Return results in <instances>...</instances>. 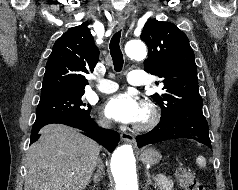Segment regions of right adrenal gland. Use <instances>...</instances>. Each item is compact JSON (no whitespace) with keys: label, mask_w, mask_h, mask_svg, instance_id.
Returning a JSON list of instances; mask_svg holds the SVG:
<instances>
[{"label":"right adrenal gland","mask_w":238,"mask_h":190,"mask_svg":"<svg viewBox=\"0 0 238 190\" xmlns=\"http://www.w3.org/2000/svg\"><path fill=\"white\" fill-rule=\"evenodd\" d=\"M98 163H99V170L93 176V182L95 184H97L100 181V179L103 177V174H104V169H103L104 165L102 164V161L100 159H98Z\"/></svg>","instance_id":"1"}]
</instances>
